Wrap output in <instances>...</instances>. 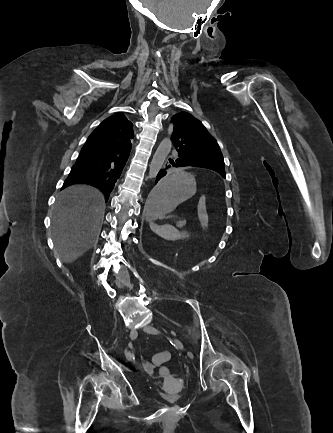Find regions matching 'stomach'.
Returning <instances> with one entry per match:
<instances>
[{
	"instance_id": "obj_1",
	"label": "stomach",
	"mask_w": 333,
	"mask_h": 433,
	"mask_svg": "<svg viewBox=\"0 0 333 433\" xmlns=\"http://www.w3.org/2000/svg\"><path fill=\"white\" fill-rule=\"evenodd\" d=\"M196 182L183 169H172L170 174L160 176L159 183H152L145 202L144 220H165L186 199H193Z\"/></svg>"
}]
</instances>
